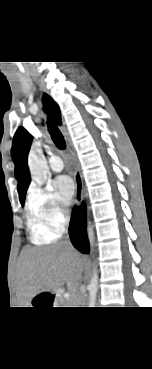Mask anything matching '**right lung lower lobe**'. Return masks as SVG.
<instances>
[{"instance_id":"right-lung-lower-lobe-1","label":"right lung lower lobe","mask_w":152,"mask_h":369,"mask_svg":"<svg viewBox=\"0 0 152 369\" xmlns=\"http://www.w3.org/2000/svg\"><path fill=\"white\" fill-rule=\"evenodd\" d=\"M69 235L74 247L82 253H89V242L86 233V208L82 204L74 208L69 226Z\"/></svg>"}]
</instances>
